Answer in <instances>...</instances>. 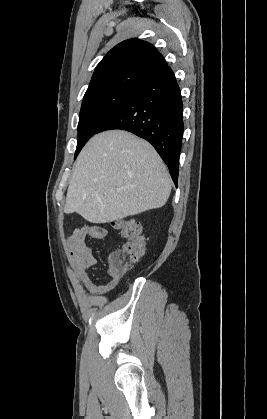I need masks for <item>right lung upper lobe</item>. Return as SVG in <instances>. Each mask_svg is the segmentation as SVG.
<instances>
[{
    "instance_id": "1",
    "label": "right lung upper lobe",
    "mask_w": 267,
    "mask_h": 419,
    "mask_svg": "<svg viewBox=\"0 0 267 419\" xmlns=\"http://www.w3.org/2000/svg\"><path fill=\"white\" fill-rule=\"evenodd\" d=\"M165 67L163 56L152 44L139 39L125 40L97 65L84 97L109 90L138 88Z\"/></svg>"
}]
</instances>
